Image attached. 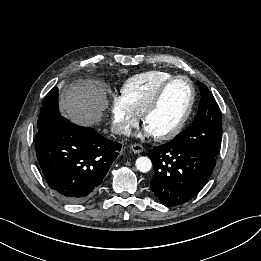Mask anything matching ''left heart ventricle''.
Segmentation results:
<instances>
[{"label": "left heart ventricle", "instance_id": "b2bd125f", "mask_svg": "<svg viewBox=\"0 0 261 261\" xmlns=\"http://www.w3.org/2000/svg\"><path fill=\"white\" fill-rule=\"evenodd\" d=\"M190 86L186 80L174 82L166 91L159 108L146 121L154 135L172 130L183 117L189 101Z\"/></svg>", "mask_w": 261, "mask_h": 261}]
</instances>
